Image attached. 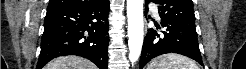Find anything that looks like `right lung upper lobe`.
<instances>
[{
    "instance_id": "obj_1",
    "label": "right lung upper lobe",
    "mask_w": 246,
    "mask_h": 69,
    "mask_svg": "<svg viewBox=\"0 0 246 69\" xmlns=\"http://www.w3.org/2000/svg\"><path fill=\"white\" fill-rule=\"evenodd\" d=\"M103 0H50L49 7L69 5V6H82V5H93L100 3Z\"/></svg>"
}]
</instances>
